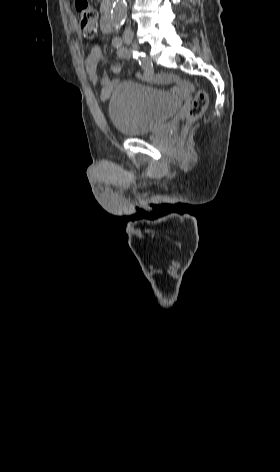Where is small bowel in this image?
<instances>
[{
    "mask_svg": "<svg viewBox=\"0 0 280 472\" xmlns=\"http://www.w3.org/2000/svg\"><path fill=\"white\" fill-rule=\"evenodd\" d=\"M103 61L104 55L102 50L99 47H93L85 60L84 66L90 81L93 84L100 86V97L101 100L105 102L110 97L116 82L111 80L107 75L99 74L98 65ZM120 70L121 67L118 64L111 67L113 73H118ZM155 81L163 85L172 86L173 92L177 94H188L192 90V86L189 83L182 81L177 76L171 74H162L158 76Z\"/></svg>",
    "mask_w": 280,
    "mask_h": 472,
    "instance_id": "c3829d8e",
    "label": "small bowel"
}]
</instances>
